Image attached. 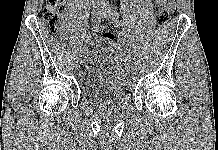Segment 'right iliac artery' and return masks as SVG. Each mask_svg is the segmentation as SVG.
<instances>
[{
  "instance_id": "right-iliac-artery-1",
  "label": "right iliac artery",
  "mask_w": 218,
  "mask_h": 150,
  "mask_svg": "<svg viewBox=\"0 0 218 150\" xmlns=\"http://www.w3.org/2000/svg\"><path fill=\"white\" fill-rule=\"evenodd\" d=\"M100 18L101 17H98V16H92V24L93 25H97L99 22H100ZM87 46L84 44L82 47H80V50L81 49H84L86 48ZM87 52L85 51L84 55L86 54Z\"/></svg>"
}]
</instances>
